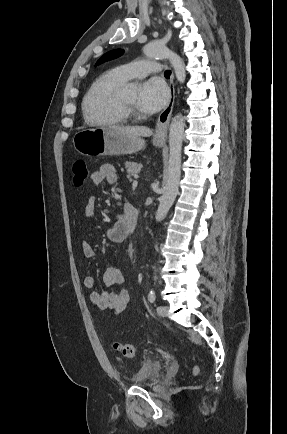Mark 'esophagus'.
<instances>
[{
  "label": "esophagus",
  "mask_w": 287,
  "mask_h": 434,
  "mask_svg": "<svg viewBox=\"0 0 287 434\" xmlns=\"http://www.w3.org/2000/svg\"><path fill=\"white\" fill-rule=\"evenodd\" d=\"M175 101V85L174 74H171L170 78V99L165 109L159 114L155 129V139L164 140L167 136L168 126L172 115V110Z\"/></svg>",
  "instance_id": "esophagus-1"
}]
</instances>
